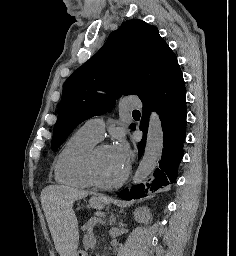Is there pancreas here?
Masks as SVG:
<instances>
[{
	"instance_id": "1",
	"label": "pancreas",
	"mask_w": 236,
	"mask_h": 256,
	"mask_svg": "<svg viewBox=\"0 0 236 256\" xmlns=\"http://www.w3.org/2000/svg\"><path fill=\"white\" fill-rule=\"evenodd\" d=\"M91 227V224H86V226L83 228V231L86 232V236H84L82 239L83 247H93L94 243L97 242L96 238H92L93 231Z\"/></svg>"
}]
</instances>
